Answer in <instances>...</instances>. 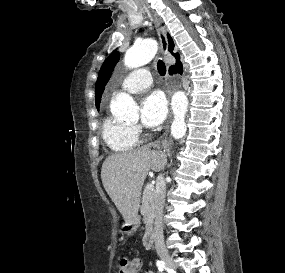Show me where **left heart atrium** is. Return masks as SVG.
I'll list each match as a JSON object with an SVG mask.
<instances>
[{
    "label": "left heart atrium",
    "instance_id": "obj_1",
    "mask_svg": "<svg viewBox=\"0 0 285 273\" xmlns=\"http://www.w3.org/2000/svg\"><path fill=\"white\" fill-rule=\"evenodd\" d=\"M167 100L165 95L155 90L150 92L141 102V121L146 127L160 125L167 115Z\"/></svg>",
    "mask_w": 285,
    "mask_h": 273
}]
</instances>
